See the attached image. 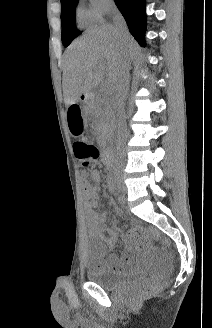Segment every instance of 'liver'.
<instances>
[{"instance_id": "obj_1", "label": "liver", "mask_w": 212, "mask_h": 328, "mask_svg": "<svg viewBox=\"0 0 212 328\" xmlns=\"http://www.w3.org/2000/svg\"><path fill=\"white\" fill-rule=\"evenodd\" d=\"M135 49L128 31L120 36L113 25L90 30L76 39L64 53V102H76L101 83L106 92H112L117 75L133 60Z\"/></svg>"}]
</instances>
